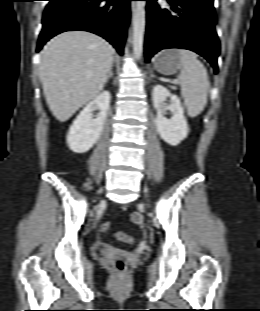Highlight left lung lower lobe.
<instances>
[{
    "mask_svg": "<svg viewBox=\"0 0 260 311\" xmlns=\"http://www.w3.org/2000/svg\"><path fill=\"white\" fill-rule=\"evenodd\" d=\"M146 1V61L162 49H188L206 58L217 73L220 45L213 0H167L169 9L157 0Z\"/></svg>",
    "mask_w": 260,
    "mask_h": 311,
    "instance_id": "0a47b994",
    "label": "left lung lower lobe"
}]
</instances>
